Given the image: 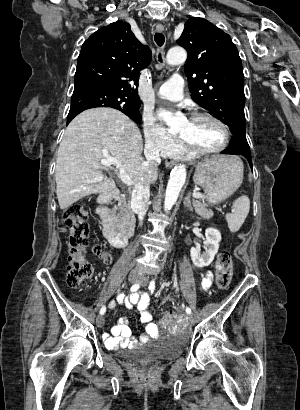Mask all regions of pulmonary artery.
I'll return each instance as SVG.
<instances>
[{
	"label": "pulmonary artery",
	"mask_w": 300,
	"mask_h": 410,
	"mask_svg": "<svg viewBox=\"0 0 300 410\" xmlns=\"http://www.w3.org/2000/svg\"><path fill=\"white\" fill-rule=\"evenodd\" d=\"M184 80L178 75H172L158 90L157 96L161 99L179 101L183 98Z\"/></svg>",
	"instance_id": "1"
}]
</instances>
